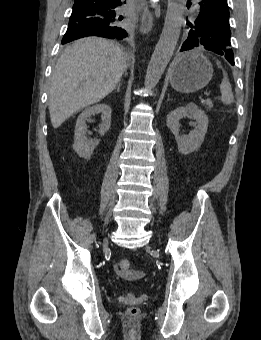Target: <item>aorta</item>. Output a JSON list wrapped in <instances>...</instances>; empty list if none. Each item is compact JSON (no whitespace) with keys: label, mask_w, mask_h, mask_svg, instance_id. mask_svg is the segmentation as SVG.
Returning a JSON list of instances; mask_svg holds the SVG:
<instances>
[{"label":"aorta","mask_w":261,"mask_h":340,"mask_svg":"<svg viewBox=\"0 0 261 340\" xmlns=\"http://www.w3.org/2000/svg\"><path fill=\"white\" fill-rule=\"evenodd\" d=\"M184 0H168L164 27L145 75V86L154 88L162 77L179 39Z\"/></svg>","instance_id":"762f6f07"}]
</instances>
